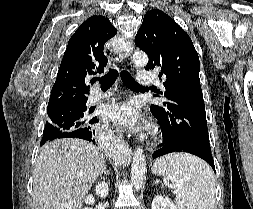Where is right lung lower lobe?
<instances>
[{"label": "right lung lower lobe", "mask_w": 253, "mask_h": 209, "mask_svg": "<svg viewBox=\"0 0 253 209\" xmlns=\"http://www.w3.org/2000/svg\"><path fill=\"white\" fill-rule=\"evenodd\" d=\"M97 123H98L97 117H92V123H90L87 127L78 128L72 131H58L53 135L44 134L43 140L48 142L54 139L72 137L84 139L89 142H93V144H95V125Z\"/></svg>", "instance_id": "98d812e1"}]
</instances>
